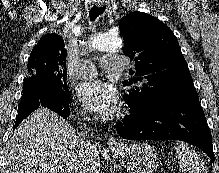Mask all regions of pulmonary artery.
I'll use <instances>...</instances> for the list:
<instances>
[{"instance_id":"e3ab8cb5","label":"pulmonary artery","mask_w":219,"mask_h":173,"mask_svg":"<svg viewBox=\"0 0 219 173\" xmlns=\"http://www.w3.org/2000/svg\"><path fill=\"white\" fill-rule=\"evenodd\" d=\"M107 71H123L127 67V60L120 56H106L100 60ZM74 74L77 78H92L96 75V67L90 60H82L76 67Z\"/></svg>"}]
</instances>
